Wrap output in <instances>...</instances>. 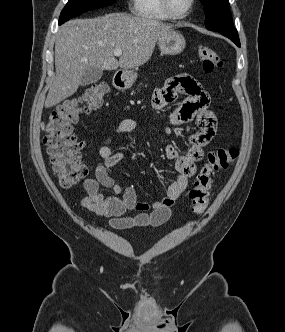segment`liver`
Wrapping results in <instances>:
<instances>
[{
    "label": "liver",
    "mask_w": 285,
    "mask_h": 332,
    "mask_svg": "<svg viewBox=\"0 0 285 332\" xmlns=\"http://www.w3.org/2000/svg\"><path fill=\"white\" fill-rule=\"evenodd\" d=\"M172 31L170 25L157 20L123 13L66 22L56 36V75L45 107L72 96L89 67L129 70L143 65L151 58L156 42ZM115 49L122 50L119 60L113 53Z\"/></svg>",
    "instance_id": "6515ba94"
}]
</instances>
